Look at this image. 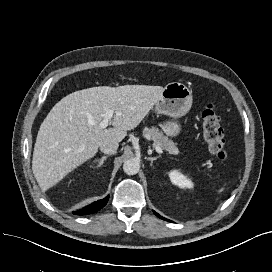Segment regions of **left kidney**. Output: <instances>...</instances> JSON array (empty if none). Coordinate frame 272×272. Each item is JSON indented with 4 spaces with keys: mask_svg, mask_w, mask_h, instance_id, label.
<instances>
[{
    "mask_svg": "<svg viewBox=\"0 0 272 272\" xmlns=\"http://www.w3.org/2000/svg\"><path fill=\"white\" fill-rule=\"evenodd\" d=\"M169 178L171 183L177 185L180 188H193V182L187 178L184 174H182L179 170H171L169 173Z\"/></svg>",
    "mask_w": 272,
    "mask_h": 272,
    "instance_id": "obj_1",
    "label": "left kidney"
}]
</instances>
